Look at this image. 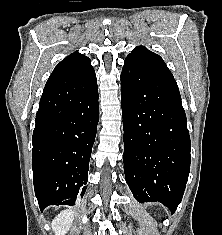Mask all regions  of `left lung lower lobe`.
<instances>
[{"label":"left lung lower lobe","instance_id":"left-lung-lower-lobe-1","mask_svg":"<svg viewBox=\"0 0 222 235\" xmlns=\"http://www.w3.org/2000/svg\"><path fill=\"white\" fill-rule=\"evenodd\" d=\"M126 182L139 202H161L173 214L190 171V136L173 76L125 59L121 73Z\"/></svg>","mask_w":222,"mask_h":235}]
</instances>
